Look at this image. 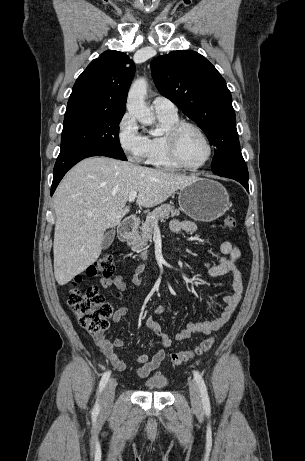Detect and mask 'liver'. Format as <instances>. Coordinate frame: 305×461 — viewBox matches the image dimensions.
I'll list each match as a JSON object with an SVG mask.
<instances>
[{
	"instance_id": "liver-1",
	"label": "liver",
	"mask_w": 305,
	"mask_h": 461,
	"mask_svg": "<svg viewBox=\"0 0 305 461\" xmlns=\"http://www.w3.org/2000/svg\"><path fill=\"white\" fill-rule=\"evenodd\" d=\"M197 177L170 173L106 157L78 163L59 184L54 196V275L65 285L100 256L108 228L129 212V194L150 208L166 201Z\"/></svg>"
}]
</instances>
